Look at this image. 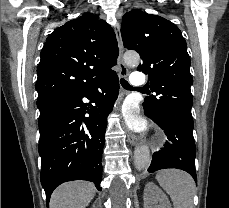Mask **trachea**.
I'll list each match as a JSON object with an SVG mask.
<instances>
[{"label":"trachea","instance_id":"obj_1","mask_svg":"<svg viewBox=\"0 0 229 208\" xmlns=\"http://www.w3.org/2000/svg\"><path fill=\"white\" fill-rule=\"evenodd\" d=\"M120 83H121L122 87L125 88V89L133 88V87L127 82V80H125L124 78H121Z\"/></svg>","mask_w":229,"mask_h":208}]
</instances>
